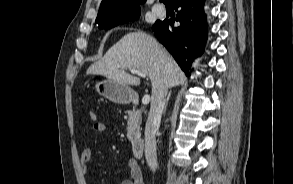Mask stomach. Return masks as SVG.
<instances>
[{"mask_svg":"<svg viewBox=\"0 0 293 184\" xmlns=\"http://www.w3.org/2000/svg\"><path fill=\"white\" fill-rule=\"evenodd\" d=\"M95 90L100 96L116 104H127L136 95L128 84L112 79L96 82Z\"/></svg>","mask_w":293,"mask_h":184,"instance_id":"0dacf381","label":"stomach"}]
</instances>
